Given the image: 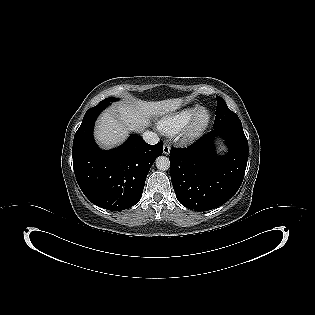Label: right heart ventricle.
<instances>
[{
    "label": "right heart ventricle",
    "instance_id": "1",
    "mask_svg": "<svg viewBox=\"0 0 315 315\" xmlns=\"http://www.w3.org/2000/svg\"><path fill=\"white\" fill-rule=\"evenodd\" d=\"M199 108V105L195 104L165 115L159 120L158 127L163 133L174 135L185 128Z\"/></svg>",
    "mask_w": 315,
    "mask_h": 315
}]
</instances>
